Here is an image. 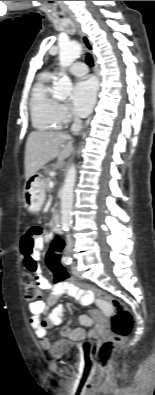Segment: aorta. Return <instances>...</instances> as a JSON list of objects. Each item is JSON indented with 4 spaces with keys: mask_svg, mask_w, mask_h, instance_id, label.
<instances>
[{
    "mask_svg": "<svg viewBox=\"0 0 155 395\" xmlns=\"http://www.w3.org/2000/svg\"><path fill=\"white\" fill-rule=\"evenodd\" d=\"M81 45L76 42L64 43L60 46L59 61L64 69L70 66L81 54ZM73 89L72 81L67 75H63L55 84L53 90L54 98L65 100ZM76 181V167L72 165L66 175L64 185L61 189V225L67 231L72 225L73 192Z\"/></svg>",
    "mask_w": 155,
    "mask_h": 395,
    "instance_id": "obj_1",
    "label": "aorta"
}]
</instances>
